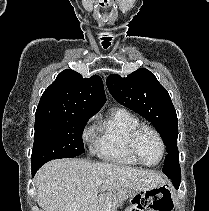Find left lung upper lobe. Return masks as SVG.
<instances>
[{
  "label": "left lung upper lobe",
  "mask_w": 209,
  "mask_h": 211,
  "mask_svg": "<svg viewBox=\"0 0 209 211\" xmlns=\"http://www.w3.org/2000/svg\"><path fill=\"white\" fill-rule=\"evenodd\" d=\"M106 83L114 99L145 117L158 130L168 152L163 172L166 175L180 174L176 111L167 90L154 74L145 68H140L126 78L112 74L108 76Z\"/></svg>",
  "instance_id": "1"
}]
</instances>
